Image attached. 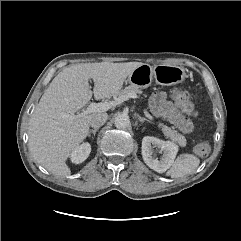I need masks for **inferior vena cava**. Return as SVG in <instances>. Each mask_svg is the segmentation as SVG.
<instances>
[{"mask_svg": "<svg viewBox=\"0 0 241 241\" xmlns=\"http://www.w3.org/2000/svg\"><path fill=\"white\" fill-rule=\"evenodd\" d=\"M108 115L104 112H98L91 116L90 126L95 128L101 127L107 121Z\"/></svg>", "mask_w": 241, "mask_h": 241, "instance_id": "inferior-vena-cava-1", "label": "inferior vena cava"}]
</instances>
